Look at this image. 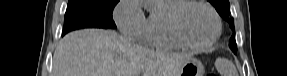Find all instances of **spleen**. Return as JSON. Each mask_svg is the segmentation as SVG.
Instances as JSON below:
<instances>
[{
	"label": "spleen",
	"mask_w": 287,
	"mask_h": 76,
	"mask_svg": "<svg viewBox=\"0 0 287 76\" xmlns=\"http://www.w3.org/2000/svg\"><path fill=\"white\" fill-rule=\"evenodd\" d=\"M215 67L222 76H238L234 64L228 59L218 58L215 62Z\"/></svg>",
	"instance_id": "spleen-1"
}]
</instances>
